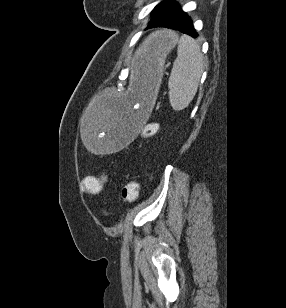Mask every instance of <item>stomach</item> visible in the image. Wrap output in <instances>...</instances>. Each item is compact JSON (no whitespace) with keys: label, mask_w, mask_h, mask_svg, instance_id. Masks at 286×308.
<instances>
[{"label":"stomach","mask_w":286,"mask_h":308,"mask_svg":"<svg viewBox=\"0 0 286 308\" xmlns=\"http://www.w3.org/2000/svg\"><path fill=\"white\" fill-rule=\"evenodd\" d=\"M177 42L178 35L172 31L150 35L143 47L133 48L130 55L132 91H126L125 96L103 91L98 100L90 101L92 112H84L86 125H81L89 153H116L117 149H125V144H137L134 132L138 131L137 125H145L144 107H152L150 94L157 92L166 56Z\"/></svg>","instance_id":"0dacf381"}]
</instances>
